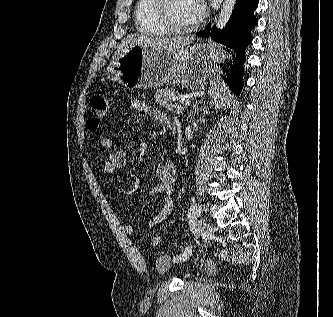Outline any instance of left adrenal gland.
I'll use <instances>...</instances> for the list:
<instances>
[{"label": "left adrenal gland", "mask_w": 333, "mask_h": 317, "mask_svg": "<svg viewBox=\"0 0 333 317\" xmlns=\"http://www.w3.org/2000/svg\"><path fill=\"white\" fill-rule=\"evenodd\" d=\"M199 103L200 102H195L194 104H193V107H192V109L190 110V112H189V114H188V116H187V120L193 115V114H195L196 112H198L199 110H200V108H199Z\"/></svg>", "instance_id": "left-adrenal-gland-1"}]
</instances>
